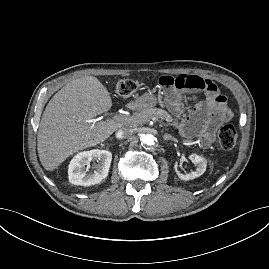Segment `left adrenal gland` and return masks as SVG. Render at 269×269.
Returning a JSON list of instances; mask_svg holds the SVG:
<instances>
[{"mask_svg":"<svg viewBox=\"0 0 269 269\" xmlns=\"http://www.w3.org/2000/svg\"><path fill=\"white\" fill-rule=\"evenodd\" d=\"M163 140L164 141H168V140H172L174 142H178V140L176 138H174L172 135L170 134H164L163 135Z\"/></svg>","mask_w":269,"mask_h":269,"instance_id":"1","label":"left adrenal gland"}]
</instances>
